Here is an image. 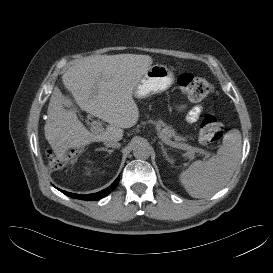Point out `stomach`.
<instances>
[{"instance_id":"stomach-1","label":"stomach","mask_w":273,"mask_h":273,"mask_svg":"<svg viewBox=\"0 0 273 273\" xmlns=\"http://www.w3.org/2000/svg\"><path fill=\"white\" fill-rule=\"evenodd\" d=\"M174 83L173 71L162 64L151 66L140 78L133 95L136 98H147L153 94L163 92Z\"/></svg>"}]
</instances>
